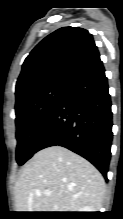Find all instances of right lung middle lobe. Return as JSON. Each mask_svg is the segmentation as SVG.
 I'll return each mask as SVG.
<instances>
[{"instance_id": "dd1d6c3e", "label": "right lung middle lobe", "mask_w": 123, "mask_h": 219, "mask_svg": "<svg viewBox=\"0 0 123 219\" xmlns=\"http://www.w3.org/2000/svg\"><path fill=\"white\" fill-rule=\"evenodd\" d=\"M67 83H53L35 89L16 101V160L23 165L36 153L43 133Z\"/></svg>"}]
</instances>
